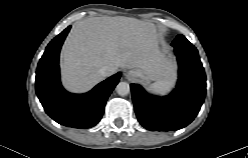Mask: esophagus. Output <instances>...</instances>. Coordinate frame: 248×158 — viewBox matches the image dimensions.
<instances>
[{"label":"esophagus","instance_id":"obj_1","mask_svg":"<svg viewBox=\"0 0 248 158\" xmlns=\"http://www.w3.org/2000/svg\"><path fill=\"white\" fill-rule=\"evenodd\" d=\"M124 75L127 79H130L134 75V71L133 70L125 71Z\"/></svg>","mask_w":248,"mask_h":158}]
</instances>
